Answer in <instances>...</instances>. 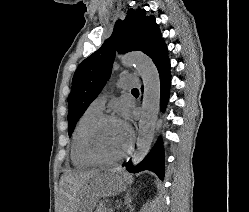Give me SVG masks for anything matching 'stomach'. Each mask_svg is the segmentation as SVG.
I'll return each instance as SVG.
<instances>
[{"label":"stomach","mask_w":249,"mask_h":212,"mask_svg":"<svg viewBox=\"0 0 249 212\" xmlns=\"http://www.w3.org/2000/svg\"><path fill=\"white\" fill-rule=\"evenodd\" d=\"M123 184H127V175H118V170H103V175L85 179L79 212H92L95 204H103L99 198H108V193H126Z\"/></svg>","instance_id":"1"}]
</instances>
